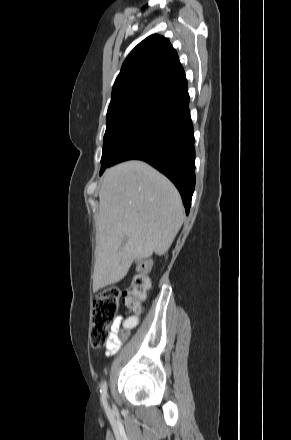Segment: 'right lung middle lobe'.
<instances>
[{"label":"right lung middle lobe","mask_w":291,"mask_h":440,"mask_svg":"<svg viewBox=\"0 0 291 440\" xmlns=\"http://www.w3.org/2000/svg\"><path fill=\"white\" fill-rule=\"evenodd\" d=\"M154 99L136 97L109 105L100 175L109 167L112 157L138 125Z\"/></svg>","instance_id":"1"}]
</instances>
